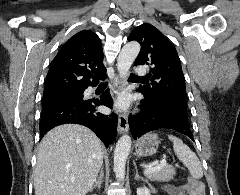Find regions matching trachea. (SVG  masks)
Segmentation results:
<instances>
[{
    "label": "trachea",
    "mask_w": 240,
    "mask_h": 195,
    "mask_svg": "<svg viewBox=\"0 0 240 195\" xmlns=\"http://www.w3.org/2000/svg\"><path fill=\"white\" fill-rule=\"evenodd\" d=\"M130 79H135V78H138V79H141V78H145V77H138L137 75H134L133 73L130 74ZM103 84H107L108 82L107 81H104L102 82Z\"/></svg>",
    "instance_id": "obj_1"
}]
</instances>
